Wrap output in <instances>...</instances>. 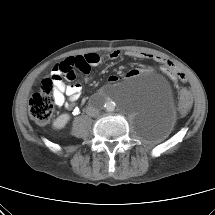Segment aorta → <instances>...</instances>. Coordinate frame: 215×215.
<instances>
[{"label": "aorta", "mask_w": 215, "mask_h": 215, "mask_svg": "<svg viewBox=\"0 0 215 215\" xmlns=\"http://www.w3.org/2000/svg\"><path fill=\"white\" fill-rule=\"evenodd\" d=\"M122 85H117L114 86L111 89V99L107 100L106 103L104 104V109L107 112H112L116 108V100H122L123 95H122Z\"/></svg>", "instance_id": "762f6f07"}]
</instances>
